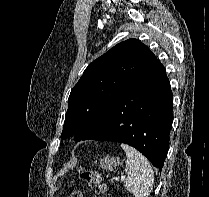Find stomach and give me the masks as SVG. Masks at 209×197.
<instances>
[{
    "label": "stomach",
    "instance_id": "0dacf381",
    "mask_svg": "<svg viewBox=\"0 0 209 197\" xmlns=\"http://www.w3.org/2000/svg\"><path fill=\"white\" fill-rule=\"evenodd\" d=\"M119 164L118 158H110L109 156H106L105 158L100 160V167L103 170H110L112 171L113 168H115Z\"/></svg>",
    "mask_w": 209,
    "mask_h": 197
}]
</instances>
